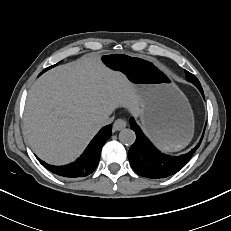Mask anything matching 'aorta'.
<instances>
[{
	"label": "aorta",
	"mask_w": 231,
	"mask_h": 231,
	"mask_svg": "<svg viewBox=\"0 0 231 231\" xmlns=\"http://www.w3.org/2000/svg\"><path fill=\"white\" fill-rule=\"evenodd\" d=\"M119 140L124 145H132L136 140V134L132 129H122L119 133Z\"/></svg>",
	"instance_id": "aorta-1"
}]
</instances>
